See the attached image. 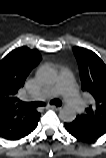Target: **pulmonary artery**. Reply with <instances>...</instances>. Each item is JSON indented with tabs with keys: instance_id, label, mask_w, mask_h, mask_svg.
<instances>
[{
	"instance_id": "pulmonary-artery-1",
	"label": "pulmonary artery",
	"mask_w": 106,
	"mask_h": 158,
	"mask_svg": "<svg viewBox=\"0 0 106 158\" xmlns=\"http://www.w3.org/2000/svg\"><path fill=\"white\" fill-rule=\"evenodd\" d=\"M63 90L66 91V93L70 96L73 97L76 94V87L75 85L72 83V81L67 80L65 81L63 87H56L54 89H52L51 94L52 95H57L63 92Z\"/></svg>"
}]
</instances>
